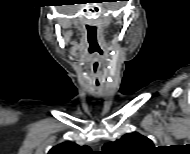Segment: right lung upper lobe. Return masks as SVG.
Listing matches in <instances>:
<instances>
[{
  "label": "right lung upper lobe",
  "instance_id": "right-lung-upper-lobe-1",
  "mask_svg": "<svg viewBox=\"0 0 190 154\" xmlns=\"http://www.w3.org/2000/svg\"><path fill=\"white\" fill-rule=\"evenodd\" d=\"M91 152L88 146H79L74 142H64L53 147L48 154H83Z\"/></svg>",
  "mask_w": 190,
  "mask_h": 154
}]
</instances>
